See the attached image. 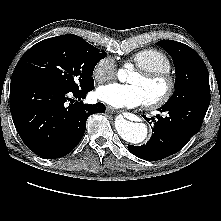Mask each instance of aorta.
<instances>
[{"instance_id": "obj_1", "label": "aorta", "mask_w": 221, "mask_h": 221, "mask_svg": "<svg viewBox=\"0 0 221 221\" xmlns=\"http://www.w3.org/2000/svg\"><path fill=\"white\" fill-rule=\"evenodd\" d=\"M127 71L120 69L118 71V78L120 81H125ZM115 128L119 136L132 144H139L146 140L148 136V128L144 123L131 122L125 119L122 115L116 117Z\"/></svg>"}]
</instances>
